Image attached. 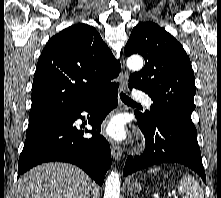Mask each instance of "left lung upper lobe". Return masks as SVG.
Instances as JSON below:
<instances>
[{"label":"left lung upper lobe","instance_id":"5c2ea615","mask_svg":"<svg viewBox=\"0 0 221 198\" xmlns=\"http://www.w3.org/2000/svg\"><path fill=\"white\" fill-rule=\"evenodd\" d=\"M125 54H141L144 68L131 74L129 87L146 92L153 100L148 120L164 119L196 130L191 114L196 87L191 62L182 45L152 22H140L132 30Z\"/></svg>","mask_w":221,"mask_h":198}]
</instances>
